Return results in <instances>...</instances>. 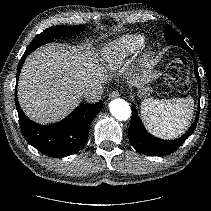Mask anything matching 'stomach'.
<instances>
[{
  "instance_id": "1",
  "label": "stomach",
  "mask_w": 211,
  "mask_h": 211,
  "mask_svg": "<svg viewBox=\"0 0 211 211\" xmlns=\"http://www.w3.org/2000/svg\"><path fill=\"white\" fill-rule=\"evenodd\" d=\"M148 82V76L144 75V77L137 83L139 96H147L150 93L151 88L149 87Z\"/></svg>"
}]
</instances>
